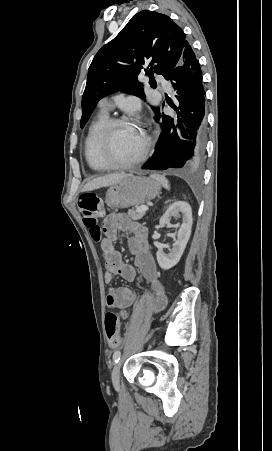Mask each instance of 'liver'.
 Masks as SVG:
<instances>
[{"mask_svg": "<svg viewBox=\"0 0 272 451\" xmlns=\"http://www.w3.org/2000/svg\"><path fill=\"white\" fill-rule=\"evenodd\" d=\"M125 176H130V174L122 172V174H109V176H103V178H95V180L85 184L82 192H90V190H97V188H104V186H113V184L123 180Z\"/></svg>", "mask_w": 272, "mask_h": 451, "instance_id": "obj_1", "label": "liver"}]
</instances>
